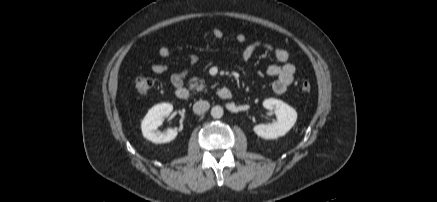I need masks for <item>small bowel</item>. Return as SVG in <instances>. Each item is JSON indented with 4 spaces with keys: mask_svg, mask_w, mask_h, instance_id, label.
Masks as SVG:
<instances>
[{
    "mask_svg": "<svg viewBox=\"0 0 437 202\" xmlns=\"http://www.w3.org/2000/svg\"><path fill=\"white\" fill-rule=\"evenodd\" d=\"M212 35L217 41H222L224 39V33L220 28H213ZM235 41L238 44H244L242 50V59L249 60L257 50H264L274 56L277 64L270 65L266 69V74L270 77H275L272 84V89L275 94L283 95L288 87L294 81V75L296 68L290 62L289 53L275 44L262 40H253L246 42V37L244 34H237ZM158 54L162 58H167L170 56L171 51L168 46H161L158 50ZM198 63V57L194 54L188 56V67L181 71L175 72L170 76V82L172 86L177 89L184 85V80L188 75L190 69ZM150 68L155 74H164L168 71L169 66L167 63L152 62Z\"/></svg>",
    "mask_w": 437,
    "mask_h": 202,
    "instance_id": "c3829d8e",
    "label": "small bowel"
}]
</instances>
